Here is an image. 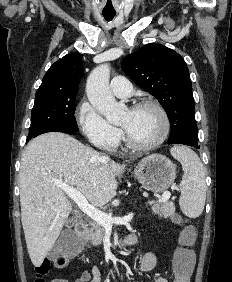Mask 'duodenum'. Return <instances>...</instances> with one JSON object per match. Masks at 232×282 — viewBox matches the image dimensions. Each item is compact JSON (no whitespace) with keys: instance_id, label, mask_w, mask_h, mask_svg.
<instances>
[{"instance_id":"1","label":"duodenum","mask_w":232,"mask_h":282,"mask_svg":"<svg viewBox=\"0 0 232 282\" xmlns=\"http://www.w3.org/2000/svg\"><path fill=\"white\" fill-rule=\"evenodd\" d=\"M75 231H76V234H77L81 244H83L85 237L87 235V225H86V223H84V222L77 223L76 226H75ZM123 244L126 245V246H130V245L134 244V241L131 238V236L129 235V236L124 238Z\"/></svg>"}]
</instances>
